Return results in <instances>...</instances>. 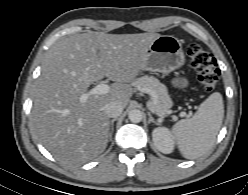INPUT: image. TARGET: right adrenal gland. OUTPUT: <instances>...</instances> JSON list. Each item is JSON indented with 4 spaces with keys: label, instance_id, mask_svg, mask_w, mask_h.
<instances>
[{
    "label": "right adrenal gland",
    "instance_id": "1",
    "mask_svg": "<svg viewBox=\"0 0 248 195\" xmlns=\"http://www.w3.org/2000/svg\"><path fill=\"white\" fill-rule=\"evenodd\" d=\"M117 119L114 118L110 121V132H109V140H111L112 138V133L114 131V122L116 121Z\"/></svg>",
    "mask_w": 248,
    "mask_h": 195
}]
</instances>
